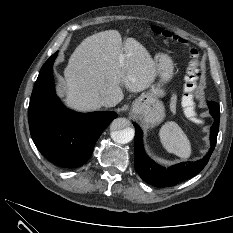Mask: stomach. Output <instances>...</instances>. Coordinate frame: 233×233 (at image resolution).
Wrapping results in <instances>:
<instances>
[{
  "mask_svg": "<svg viewBox=\"0 0 233 233\" xmlns=\"http://www.w3.org/2000/svg\"><path fill=\"white\" fill-rule=\"evenodd\" d=\"M155 69L158 81L150 86L148 92L135 99L131 109L132 114L137 116L142 123L151 127L158 125L165 117V108L159 98L165 96L164 85L173 76L172 59L166 54L156 55Z\"/></svg>",
  "mask_w": 233,
  "mask_h": 233,
  "instance_id": "obj_1",
  "label": "stomach"
}]
</instances>
